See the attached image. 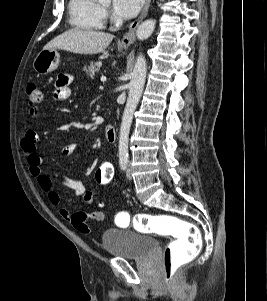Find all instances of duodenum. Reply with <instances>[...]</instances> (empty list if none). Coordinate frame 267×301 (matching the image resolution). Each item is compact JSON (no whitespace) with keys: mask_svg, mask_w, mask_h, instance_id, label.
Instances as JSON below:
<instances>
[{"mask_svg":"<svg viewBox=\"0 0 267 301\" xmlns=\"http://www.w3.org/2000/svg\"><path fill=\"white\" fill-rule=\"evenodd\" d=\"M105 138L108 142H114L116 140V130L113 126H107L105 129Z\"/></svg>","mask_w":267,"mask_h":301,"instance_id":"1","label":"duodenum"}]
</instances>
